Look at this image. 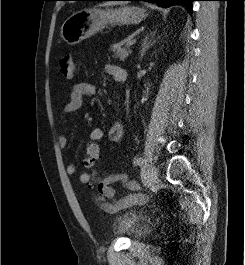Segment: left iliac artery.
<instances>
[{
	"label": "left iliac artery",
	"instance_id": "44dca946",
	"mask_svg": "<svg viewBox=\"0 0 245 265\" xmlns=\"http://www.w3.org/2000/svg\"><path fill=\"white\" fill-rule=\"evenodd\" d=\"M134 164L135 165H143L144 164V159L143 158H136L135 160H134Z\"/></svg>",
	"mask_w": 245,
	"mask_h": 265
}]
</instances>
